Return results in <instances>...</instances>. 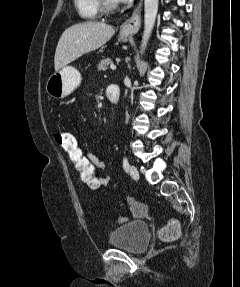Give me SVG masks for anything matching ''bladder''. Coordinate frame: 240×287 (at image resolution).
I'll return each instance as SVG.
<instances>
[{
	"instance_id": "obj_1",
	"label": "bladder",
	"mask_w": 240,
	"mask_h": 287,
	"mask_svg": "<svg viewBox=\"0 0 240 287\" xmlns=\"http://www.w3.org/2000/svg\"><path fill=\"white\" fill-rule=\"evenodd\" d=\"M150 229L146 222L133 220L111 231L108 244L129 253L143 252L149 242Z\"/></svg>"
}]
</instances>
